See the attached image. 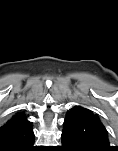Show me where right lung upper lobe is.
<instances>
[{
  "label": "right lung upper lobe",
  "instance_id": "right-lung-upper-lobe-1",
  "mask_svg": "<svg viewBox=\"0 0 118 151\" xmlns=\"http://www.w3.org/2000/svg\"><path fill=\"white\" fill-rule=\"evenodd\" d=\"M34 142L32 123L21 113L0 128V151H19Z\"/></svg>",
  "mask_w": 118,
  "mask_h": 151
}]
</instances>
